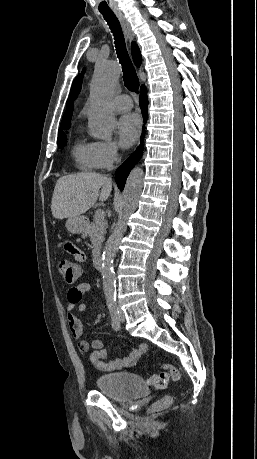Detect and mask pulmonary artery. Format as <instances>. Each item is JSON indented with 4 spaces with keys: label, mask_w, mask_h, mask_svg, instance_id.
<instances>
[{
    "label": "pulmonary artery",
    "mask_w": 257,
    "mask_h": 459,
    "mask_svg": "<svg viewBox=\"0 0 257 459\" xmlns=\"http://www.w3.org/2000/svg\"><path fill=\"white\" fill-rule=\"evenodd\" d=\"M111 106L117 112L128 111L132 108V101L128 95H118L112 99Z\"/></svg>",
    "instance_id": "obj_1"
}]
</instances>
